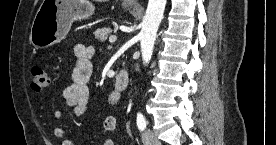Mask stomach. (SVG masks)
Masks as SVG:
<instances>
[{
  "mask_svg": "<svg viewBox=\"0 0 276 145\" xmlns=\"http://www.w3.org/2000/svg\"><path fill=\"white\" fill-rule=\"evenodd\" d=\"M87 0H43L32 23L30 41L37 48H48L63 40L73 21L93 15Z\"/></svg>",
  "mask_w": 276,
  "mask_h": 145,
  "instance_id": "1",
  "label": "stomach"
}]
</instances>
